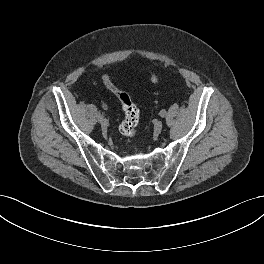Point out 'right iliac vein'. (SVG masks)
Segmentation results:
<instances>
[{
  "mask_svg": "<svg viewBox=\"0 0 264 264\" xmlns=\"http://www.w3.org/2000/svg\"><path fill=\"white\" fill-rule=\"evenodd\" d=\"M101 126H102L103 129H106L108 127V122L105 119H103L101 121Z\"/></svg>",
  "mask_w": 264,
  "mask_h": 264,
  "instance_id": "63e3f726",
  "label": "right iliac vein"
}]
</instances>
